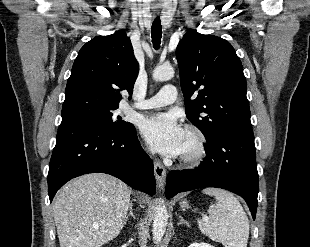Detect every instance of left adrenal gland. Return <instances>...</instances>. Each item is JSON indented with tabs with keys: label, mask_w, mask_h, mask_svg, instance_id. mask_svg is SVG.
<instances>
[{
	"label": "left adrenal gland",
	"mask_w": 310,
	"mask_h": 247,
	"mask_svg": "<svg viewBox=\"0 0 310 247\" xmlns=\"http://www.w3.org/2000/svg\"><path fill=\"white\" fill-rule=\"evenodd\" d=\"M188 224L184 219H183V217L182 216H180V222L178 223V224Z\"/></svg>",
	"instance_id": "1"
}]
</instances>
